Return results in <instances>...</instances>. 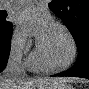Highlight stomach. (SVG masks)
Returning <instances> with one entry per match:
<instances>
[{
  "mask_svg": "<svg viewBox=\"0 0 89 89\" xmlns=\"http://www.w3.org/2000/svg\"><path fill=\"white\" fill-rule=\"evenodd\" d=\"M38 89H75L73 88L72 85L70 84H59V85H47L44 87H38Z\"/></svg>",
  "mask_w": 89,
  "mask_h": 89,
  "instance_id": "stomach-1",
  "label": "stomach"
}]
</instances>
